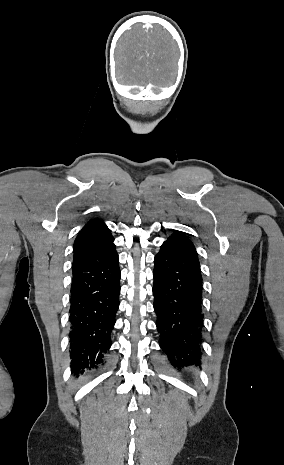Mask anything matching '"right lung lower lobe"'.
<instances>
[{
	"instance_id": "1",
	"label": "right lung lower lobe",
	"mask_w": 284,
	"mask_h": 465,
	"mask_svg": "<svg viewBox=\"0 0 284 465\" xmlns=\"http://www.w3.org/2000/svg\"><path fill=\"white\" fill-rule=\"evenodd\" d=\"M113 240L73 261L70 356L75 374L97 368L111 346L121 275Z\"/></svg>"
}]
</instances>
